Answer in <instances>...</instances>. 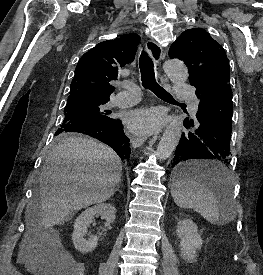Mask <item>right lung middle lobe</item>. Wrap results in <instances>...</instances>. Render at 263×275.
<instances>
[{"label":"right lung middle lobe","mask_w":263,"mask_h":275,"mask_svg":"<svg viewBox=\"0 0 263 275\" xmlns=\"http://www.w3.org/2000/svg\"><path fill=\"white\" fill-rule=\"evenodd\" d=\"M109 98L96 95H75L68 97L64 109L65 118L61 127L55 133V142H61L70 133L71 129L85 125H102L111 118L107 110Z\"/></svg>","instance_id":"1"}]
</instances>
